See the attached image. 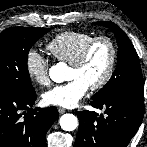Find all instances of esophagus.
I'll return each instance as SVG.
<instances>
[{"label":"esophagus","instance_id":"1","mask_svg":"<svg viewBox=\"0 0 147 147\" xmlns=\"http://www.w3.org/2000/svg\"><path fill=\"white\" fill-rule=\"evenodd\" d=\"M58 112H59L60 114H63V113L66 112V109H64V108H58Z\"/></svg>","mask_w":147,"mask_h":147}]
</instances>
